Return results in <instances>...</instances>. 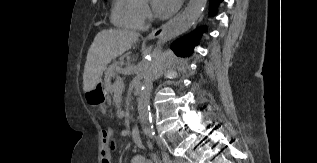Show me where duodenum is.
I'll return each mask as SVG.
<instances>
[{
  "mask_svg": "<svg viewBox=\"0 0 317 163\" xmlns=\"http://www.w3.org/2000/svg\"><path fill=\"white\" fill-rule=\"evenodd\" d=\"M131 137H132L133 142L136 145H138V146L143 145V139H142L141 131L139 128H137V127L132 128Z\"/></svg>",
  "mask_w": 317,
  "mask_h": 163,
  "instance_id": "410a0bca",
  "label": "duodenum"
}]
</instances>
